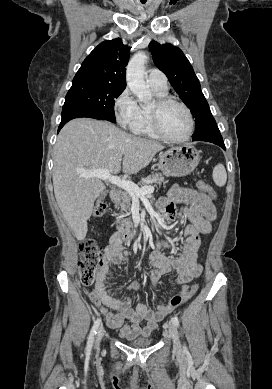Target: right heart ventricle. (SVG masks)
<instances>
[{"instance_id":"right-heart-ventricle-1","label":"right heart ventricle","mask_w":272,"mask_h":389,"mask_svg":"<svg viewBox=\"0 0 272 389\" xmlns=\"http://www.w3.org/2000/svg\"><path fill=\"white\" fill-rule=\"evenodd\" d=\"M153 93L158 97H165L167 95V91H158L152 89ZM131 130L133 133L137 135H144L150 138H157L158 136L154 133L151 120L149 115V108L140 107V113L137 120L131 126Z\"/></svg>"}]
</instances>
